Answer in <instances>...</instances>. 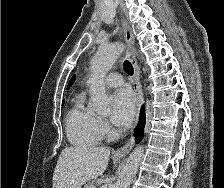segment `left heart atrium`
<instances>
[{
  "label": "left heart atrium",
  "mask_w": 224,
  "mask_h": 188,
  "mask_svg": "<svg viewBox=\"0 0 224 188\" xmlns=\"http://www.w3.org/2000/svg\"><path fill=\"white\" fill-rule=\"evenodd\" d=\"M135 117V100L130 89L122 88L112 96L111 120L119 128L129 127Z\"/></svg>",
  "instance_id": "39dd6f15"
}]
</instances>
